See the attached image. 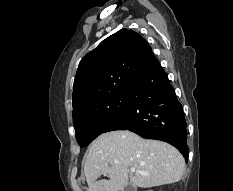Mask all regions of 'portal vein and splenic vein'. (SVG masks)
Listing matches in <instances>:
<instances>
[{"label":"portal vein and splenic vein","mask_w":233,"mask_h":191,"mask_svg":"<svg viewBox=\"0 0 233 191\" xmlns=\"http://www.w3.org/2000/svg\"><path fill=\"white\" fill-rule=\"evenodd\" d=\"M131 172L136 173V174H141V175H148V173L143 172V171H137L135 168L131 167Z\"/></svg>","instance_id":"obj_1"}]
</instances>
